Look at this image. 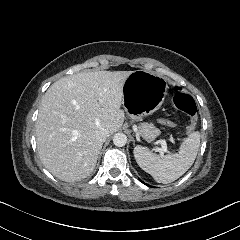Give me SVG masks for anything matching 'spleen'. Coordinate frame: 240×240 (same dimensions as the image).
Returning <instances> with one entry per match:
<instances>
[{"mask_svg":"<svg viewBox=\"0 0 240 240\" xmlns=\"http://www.w3.org/2000/svg\"><path fill=\"white\" fill-rule=\"evenodd\" d=\"M201 145L200 132L189 135L176 155H158L149 147L138 145L134 156L138 165L153 178L163 184H169L185 174L194 164Z\"/></svg>","mask_w":240,"mask_h":240,"instance_id":"spleen-1","label":"spleen"}]
</instances>
